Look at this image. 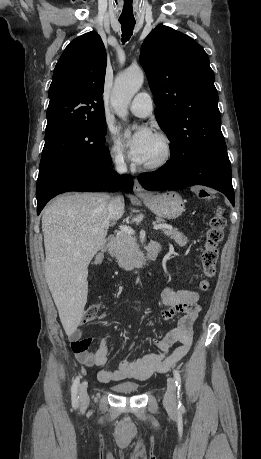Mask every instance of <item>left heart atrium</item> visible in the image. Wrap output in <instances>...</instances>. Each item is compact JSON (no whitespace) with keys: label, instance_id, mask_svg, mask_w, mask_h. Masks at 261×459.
Here are the masks:
<instances>
[{"label":"left heart atrium","instance_id":"1","mask_svg":"<svg viewBox=\"0 0 261 459\" xmlns=\"http://www.w3.org/2000/svg\"><path fill=\"white\" fill-rule=\"evenodd\" d=\"M154 138V133L146 126L139 127L133 131L128 139L127 146L134 162L138 164L146 162Z\"/></svg>","mask_w":261,"mask_h":459}]
</instances>
